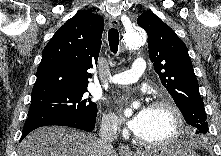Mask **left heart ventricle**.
Listing matches in <instances>:
<instances>
[{"label":"left heart ventricle","mask_w":221,"mask_h":156,"mask_svg":"<svg viewBox=\"0 0 221 156\" xmlns=\"http://www.w3.org/2000/svg\"><path fill=\"white\" fill-rule=\"evenodd\" d=\"M174 129V118L165 108L152 107L145 126L137 133L145 140L155 141L168 137Z\"/></svg>","instance_id":"obj_1"}]
</instances>
